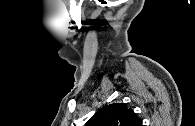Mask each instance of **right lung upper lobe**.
<instances>
[{
    "label": "right lung upper lobe",
    "instance_id": "1",
    "mask_svg": "<svg viewBox=\"0 0 195 126\" xmlns=\"http://www.w3.org/2000/svg\"><path fill=\"white\" fill-rule=\"evenodd\" d=\"M85 126H142V122L125 103H114L98 110Z\"/></svg>",
    "mask_w": 195,
    "mask_h": 126
}]
</instances>
